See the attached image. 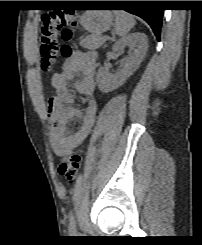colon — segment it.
Segmentation results:
<instances>
[{
	"mask_svg": "<svg viewBox=\"0 0 202 245\" xmlns=\"http://www.w3.org/2000/svg\"><path fill=\"white\" fill-rule=\"evenodd\" d=\"M70 19L71 15L68 13L42 16L40 59L42 70L45 72L52 70L59 54H62L66 59L72 55V50L68 45L72 37ZM80 166V152L62 155L58 172L63 179L73 182L79 173Z\"/></svg>",
	"mask_w": 202,
	"mask_h": 245,
	"instance_id": "colon-1",
	"label": "colon"
}]
</instances>
